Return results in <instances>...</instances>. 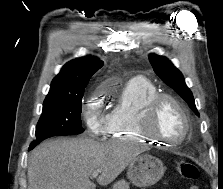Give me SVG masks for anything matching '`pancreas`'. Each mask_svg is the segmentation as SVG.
Instances as JSON below:
<instances>
[{"instance_id": "pancreas-1", "label": "pancreas", "mask_w": 223, "mask_h": 189, "mask_svg": "<svg viewBox=\"0 0 223 189\" xmlns=\"http://www.w3.org/2000/svg\"><path fill=\"white\" fill-rule=\"evenodd\" d=\"M114 189H129V184L122 180L114 185Z\"/></svg>"}]
</instances>
